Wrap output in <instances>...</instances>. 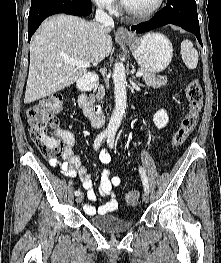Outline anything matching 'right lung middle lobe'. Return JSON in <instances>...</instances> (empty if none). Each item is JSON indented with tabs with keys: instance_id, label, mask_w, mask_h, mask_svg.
<instances>
[{
	"instance_id": "1",
	"label": "right lung middle lobe",
	"mask_w": 221,
	"mask_h": 263,
	"mask_svg": "<svg viewBox=\"0 0 221 263\" xmlns=\"http://www.w3.org/2000/svg\"><path fill=\"white\" fill-rule=\"evenodd\" d=\"M35 1H37V0H31V3L35 2Z\"/></svg>"
}]
</instances>
